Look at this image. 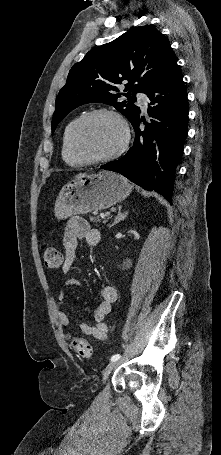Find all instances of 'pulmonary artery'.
Returning <instances> with one entry per match:
<instances>
[{
	"instance_id": "pulmonary-artery-1",
	"label": "pulmonary artery",
	"mask_w": 221,
	"mask_h": 455,
	"mask_svg": "<svg viewBox=\"0 0 221 455\" xmlns=\"http://www.w3.org/2000/svg\"><path fill=\"white\" fill-rule=\"evenodd\" d=\"M140 104L143 107V109H146V105H147L146 99H142V101H140Z\"/></svg>"
}]
</instances>
